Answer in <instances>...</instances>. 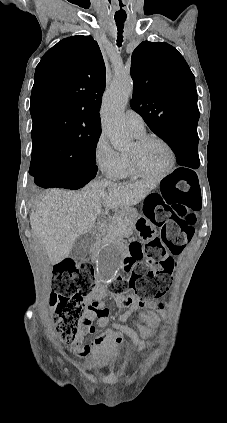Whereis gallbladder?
<instances>
[{
    "label": "gallbladder",
    "instance_id": "obj_1",
    "mask_svg": "<svg viewBox=\"0 0 227 423\" xmlns=\"http://www.w3.org/2000/svg\"><path fill=\"white\" fill-rule=\"evenodd\" d=\"M93 243H95V233H92V231L84 233V235H79L73 243L70 257H73V259H82V257H86V255L90 253Z\"/></svg>",
    "mask_w": 227,
    "mask_h": 423
}]
</instances>
